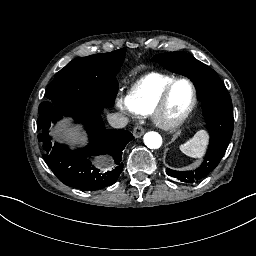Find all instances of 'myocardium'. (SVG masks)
Segmentation results:
<instances>
[{"label": "myocardium", "mask_w": 256, "mask_h": 256, "mask_svg": "<svg viewBox=\"0 0 256 256\" xmlns=\"http://www.w3.org/2000/svg\"><path fill=\"white\" fill-rule=\"evenodd\" d=\"M180 82H185L190 86L191 93H192V100L190 106L180 115L173 116L169 119V122L162 126L163 129L166 131H172L173 129L177 128L179 125H181L194 111L196 104H197V96H196V89L192 81L187 77H180L175 79L159 96L158 98L153 102H147L154 110H160L164 108L171 96V93L173 92L175 86L179 84ZM150 115H153L152 113H147Z\"/></svg>", "instance_id": "myocardium-1"}]
</instances>
